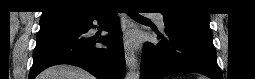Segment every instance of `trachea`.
I'll return each mask as SVG.
<instances>
[{
    "mask_svg": "<svg viewBox=\"0 0 255 79\" xmlns=\"http://www.w3.org/2000/svg\"><path fill=\"white\" fill-rule=\"evenodd\" d=\"M135 21H147L148 19L139 14H128ZM115 14H111L110 17L113 18Z\"/></svg>",
    "mask_w": 255,
    "mask_h": 79,
    "instance_id": "1",
    "label": "trachea"
}]
</instances>
